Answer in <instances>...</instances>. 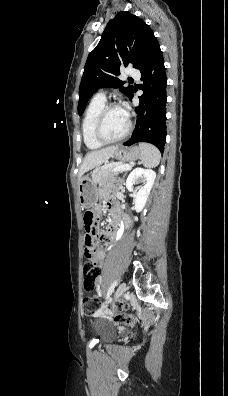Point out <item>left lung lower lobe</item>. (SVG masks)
I'll use <instances>...</instances> for the list:
<instances>
[{
  "instance_id": "0a47b994",
  "label": "left lung lower lobe",
  "mask_w": 228,
  "mask_h": 396,
  "mask_svg": "<svg viewBox=\"0 0 228 396\" xmlns=\"http://www.w3.org/2000/svg\"><path fill=\"white\" fill-rule=\"evenodd\" d=\"M139 70L144 92L139 97V105L136 107L135 129L124 145L131 146L138 142H148L163 152L166 141L167 78L157 38L153 41L145 62ZM133 94L134 92L129 97L130 99Z\"/></svg>"
}]
</instances>
